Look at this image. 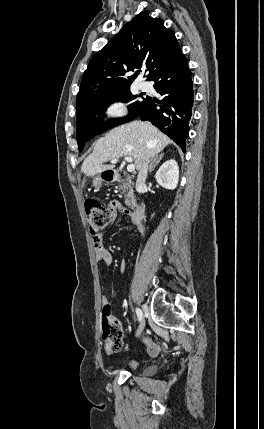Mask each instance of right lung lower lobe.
I'll return each mask as SVG.
<instances>
[{
	"instance_id": "right-lung-lower-lobe-1",
	"label": "right lung lower lobe",
	"mask_w": 264,
	"mask_h": 429,
	"mask_svg": "<svg viewBox=\"0 0 264 429\" xmlns=\"http://www.w3.org/2000/svg\"><path fill=\"white\" fill-rule=\"evenodd\" d=\"M192 73L181 50L151 79L154 88L164 95L161 101L149 97L139 113L143 121H150L173 139L185 152L193 106ZM137 116V117H138Z\"/></svg>"
}]
</instances>
